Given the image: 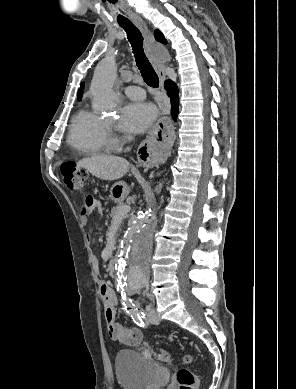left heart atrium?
<instances>
[{"label":"left heart atrium","mask_w":296,"mask_h":389,"mask_svg":"<svg viewBox=\"0 0 296 389\" xmlns=\"http://www.w3.org/2000/svg\"><path fill=\"white\" fill-rule=\"evenodd\" d=\"M156 117L157 110L152 104L135 102L123 108L120 124L127 132L140 134L152 126Z\"/></svg>","instance_id":"1"}]
</instances>
